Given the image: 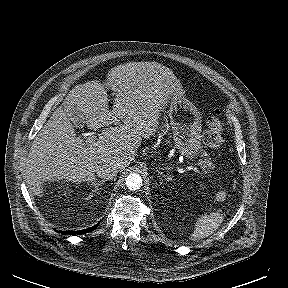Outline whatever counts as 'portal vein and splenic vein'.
I'll list each match as a JSON object with an SVG mask.
<instances>
[{
    "mask_svg": "<svg viewBox=\"0 0 288 288\" xmlns=\"http://www.w3.org/2000/svg\"><path fill=\"white\" fill-rule=\"evenodd\" d=\"M94 140H95V137L92 136V137H88L86 141H87L88 143H91V142H93ZM193 168H194V171H195V172L200 173V170H199L198 168H196V167H193Z\"/></svg>",
    "mask_w": 288,
    "mask_h": 288,
    "instance_id": "18ae733b",
    "label": "portal vein and splenic vein"
}]
</instances>
